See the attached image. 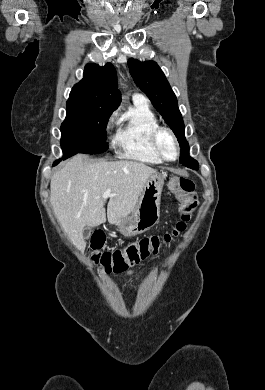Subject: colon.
Segmentation results:
<instances>
[{
    "instance_id": "5ec220e1",
    "label": "colon",
    "mask_w": 265,
    "mask_h": 390,
    "mask_svg": "<svg viewBox=\"0 0 265 390\" xmlns=\"http://www.w3.org/2000/svg\"><path fill=\"white\" fill-rule=\"evenodd\" d=\"M168 187L180 201L181 213L180 220L170 232L144 237L124 248L110 251L103 250L106 241L104 233L100 230L93 232L89 244L91 258L102 267L105 273L126 272L131 267L157 254L163 244L169 243L174 237L185 231L197 206L195 184L189 178L173 176L169 179Z\"/></svg>"
}]
</instances>
